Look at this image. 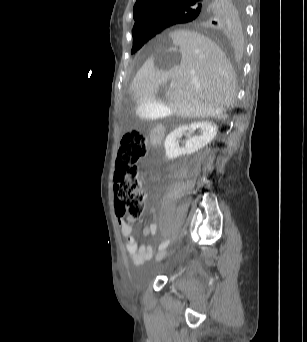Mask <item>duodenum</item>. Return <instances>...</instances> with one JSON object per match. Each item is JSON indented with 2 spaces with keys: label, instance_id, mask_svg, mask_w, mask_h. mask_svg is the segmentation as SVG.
Listing matches in <instances>:
<instances>
[{
  "label": "duodenum",
  "instance_id": "410a0bca",
  "mask_svg": "<svg viewBox=\"0 0 307 342\" xmlns=\"http://www.w3.org/2000/svg\"><path fill=\"white\" fill-rule=\"evenodd\" d=\"M165 129L162 125H155L150 133V144L153 148H157L163 141Z\"/></svg>",
  "mask_w": 307,
  "mask_h": 342
}]
</instances>
